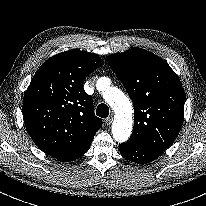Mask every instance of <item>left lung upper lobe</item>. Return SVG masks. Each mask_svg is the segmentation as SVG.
I'll return each mask as SVG.
<instances>
[{
	"instance_id": "obj_1",
	"label": "left lung upper lobe",
	"mask_w": 206,
	"mask_h": 206,
	"mask_svg": "<svg viewBox=\"0 0 206 206\" xmlns=\"http://www.w3.org/2000/svg\"><path fill=\"white\" fill-rule=\"evenodd\" d=\"M107 61L134 105V128L128 141L165 151L183 121L179 77L162 58L140 48L109 55Z\"/></svg>"
}]
</instances>
